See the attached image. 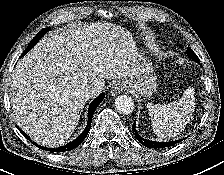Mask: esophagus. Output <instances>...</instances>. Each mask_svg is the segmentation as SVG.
Returning <instances> with one entry per match:
<instances>
[{"mask_svg": "<svg viewBox=\"0 0 224 175\" xmlns=\"http://www.w3.org/2000/svg\"><path fill=\"white\" fill-rule=\"evenodd\" d=\"M125 87H126L125 83L117 82L113 84V86L111 87L110 93L112 96L118 95L125 89Z\"/></svg>", "mask_w": 224, "mask_h": 175, "instance_id": "obj_1", "label": "esophagus"}]
</instances>
